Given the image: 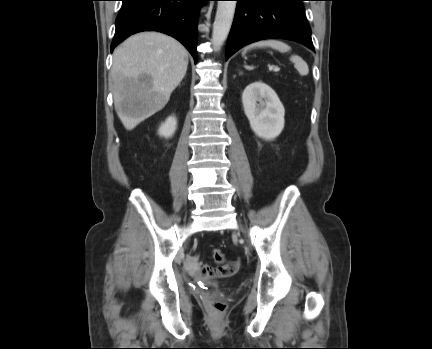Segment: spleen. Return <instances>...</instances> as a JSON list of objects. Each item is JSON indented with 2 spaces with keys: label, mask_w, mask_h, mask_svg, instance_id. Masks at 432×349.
<instances>
[{
  "label": "spleen",
  "mask_w": 432,
  "mask_h": 349,
  "mask_svg": "<svg viewBox=\"0 0 432 349\" xmlns=\"http://www.w3.org/2000/svg\"><path fill=\"white\" fill-rule=\"evenodd\" d=\"M256 47H271L272 49L278 50L281 53H285L291 50L290 46L287 45L286 43L275 39H269V40H261L248 45L244 49L243 53H245L247 50ZM290 60L294 63V66L298 70L300 75L305 76L309 73V68L307 63L300 56L292 55L290 57Z\"/></svg>",
  "instance_id": "1"
}]
</instances>
